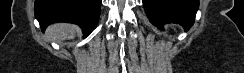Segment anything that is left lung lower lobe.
I'll return each mask as SVG.
<instances>
[{
	"label": "left lung lower lobe",
	"mask_w": 244,
	"mask_h": 73,
	"mask_svg": "<svg viewBox=\"0 0 244 73\" xmlns=\"http://www.w3.org/2000/svg\"><path fill=\"white\" fill-rule=\"evenodd\" d=\"M146 14L155 26L178 23L189 29L199 6V0H142Z\"/></svg>",
	"instance_id": "0a47b994"
}]
</instances>
